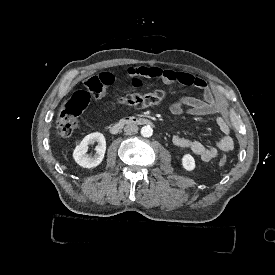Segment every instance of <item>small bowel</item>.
<instances>
[{
  "mask_svg": "<svg viewBox=\"0 0 275 275\" xmlns=\"http://www.w3.org/2000/svg\"><path fill=\"white\" fill-rule=\"evenodd\" d=\"M130 75L135 86L141 85L144 79H149L166 84L178 83L185 86H195L202 91V98L185 96L172 103L169 110L174 116L181 115L184 110H187L188 115L193 117L218 115L217 124L224 136L219 138L215 144L206 145L197 140L174 136V145L189 149L204 162L217 158L221 151H230L234 148L230 124L225 119L226 107L216 99L211 87L203 80L194 78L192 75L182 71L144 66L132 67ZM100 81L105 85L115 86L117 84L111 71H103L100 74Z\"/></svg>",
  "mask_w": 275,
  "mask_h": 275,
  "instance_id": "c3829d8e",
  "label": "small bowel"
}]
</instances>
